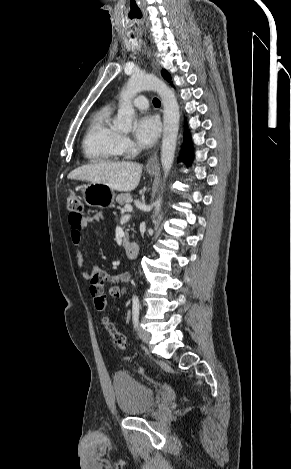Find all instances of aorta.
Instances as JSON below:
<instances>
[{
	"label": "aorta",
	"mask_w": 291,
	"mask_h": 469,
	"mask_svg": "<svg viewBox=\"0 0 291 469\" xmlns=\"http://www.w3.org/2000/svg\"><path fill=\"white\" fill-rule=\"evenodd\" d=\"M143 90H152L161 97L164 107V127L161 147V163L164 179L167 177L175 156L176 141L179 130V106L174 92L161 80L153 75L133 74L121 92V104L118 109L114 126L125 132L132 128L135 110L131 103L132 98ZM161 198L155 203L156 212L159 211Z\"/></svg>",
	"instance_id": "obj_1"
}]
</instances>
